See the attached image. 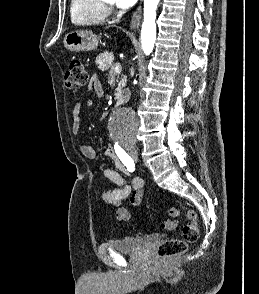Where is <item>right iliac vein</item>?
Segmentation results:
<instances>
[{"mask_svg":"<svg viewBox=\"0 0 259 294\" xmlns=\"http://www.w3.org/2000/svg\"><path fill=\"white\" fill-rule=\"evenodd\" d=\"M135 153H136V150H132V151L130 152L131 155H134Z\"/></svg>","mask_w":259,"mask_h":294,"instance_id":"obj_1","label":"right iliac vein"}]
</instances>
